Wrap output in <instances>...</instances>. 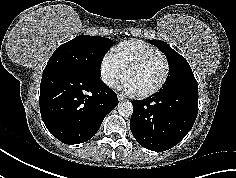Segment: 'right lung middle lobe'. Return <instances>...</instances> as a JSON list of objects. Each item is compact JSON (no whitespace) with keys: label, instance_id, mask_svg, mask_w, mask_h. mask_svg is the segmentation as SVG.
Returning a JSON list of instances; mask_svg holds the SVG:
<instances>
[{"label":"right lung middle lobe","instance_id":"dd1d6c3e","mask_svg":"<svg viewBox=\"0 0 236 178\" xmlns=\"http://www.w3.org/2000/svg\"><path fill=\"white\" fill-rule=\"evenodd\" d=\"M113 44L100 36H77L54 51L43 73L62 71L100 78L102 58Z\"/></svg>","mask_w":236,"mask_h":178}]
</instances>
